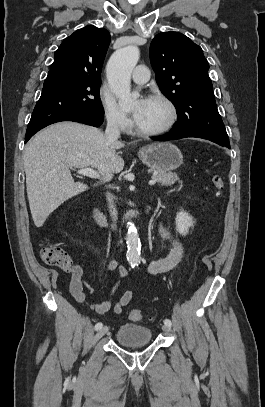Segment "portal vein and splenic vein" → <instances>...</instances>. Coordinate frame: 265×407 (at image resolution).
<instances>
[{
    "mask_svg": "<svg viewBox=\"0 0 265 407\" xmlns=\"http://www.w3.org/2000/svg\"><path fill=\"white\" fill-rule=\"evenodd\" d=\"M78 173L81 174V175H84V176H88L90 178H98L99 177L98 172L91 169V168H89V167L79 169ZM155 183H156L155 179H152V180L149 181V185H154Z\"/></svg>",
    "mask_w": 265,
    "mask_h": 407,
    "instance_id": "1",
    "label": "portal vein and splenic vein"
}]
</instances>
